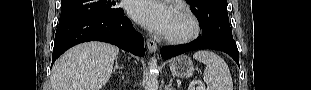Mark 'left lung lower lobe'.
<instances>
[{"mask_svg": "<svg viewBox=\"0 0 311 90\" xmlns=\"http://www.w3.org/2000/svg\"><path fill=\"white\" fill-rule=\"evenodd\" d=\"M197 49H214L223 51L230 55L239 65L238 49L233 37H227L221 34L202 35L197 41L190 44L165 46L161 49V56L163 59H169Z\"/></svg>", "mask_w": 311, "mask_h": 90, "instance_id": "1", "label": "left lung lower lobe"}]
</instances>
